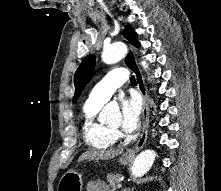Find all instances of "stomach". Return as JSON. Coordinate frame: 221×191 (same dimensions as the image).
I'll use <instances>...</instances> for the list:
<instances>
[{
  "instance_id": "stomach-1",
  "label": "stomach",
  "mask_w": 221,
  "mask_h": 191,
  "mask_svg": "<svg viewBox=\"0 0 221 191\" xmlns=\"http://www.w3.org/2000/svg\"><path fill=\"white\" fill-rule=\"evenodd\" d=\"M132 161L131 157L123 155L119 158L122 165H127ZM83 177L76 169L68 170L59 180L57 191H82Z\"/></svg>"
}]
</instances>
